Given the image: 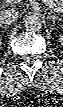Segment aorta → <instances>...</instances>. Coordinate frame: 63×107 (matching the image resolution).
<instances>
[{"mask_svg":"<svg viewBox=\"0 0 63 107\" xmlns=\"http://www.w3.org/2000/svg\"><path fill=\"white\" fill-rule=\"evenodd\" d=\"M24 27L29 32H38L42 28V24L39 17L28 16L25 19Z\"/></svg>","mask_w":63,"mask_h":107,"instance_id":"762f6f07","label":"aorta"}]
</instances>
